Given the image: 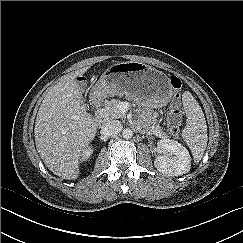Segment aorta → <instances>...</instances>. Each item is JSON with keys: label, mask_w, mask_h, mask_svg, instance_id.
Masks as SVG:
<instances>
[{"label": "aorta", "mask_w": 243, "mask_h": 243, "mask_svg": "<svg viewBox=\"0 0 243 243\" xmlns=\"http://www.w3.org/2000/svg\"><path fill=\"white\" fill-rule=\"evenodd\" d=\"M122 136L125 139H130L133 136V131L130 128H125L122 132Z\"/></svg>", "instance_id": "762f6f07"}]
</instances>
